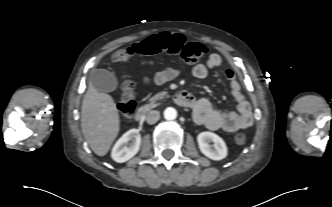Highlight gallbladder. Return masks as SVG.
Masks as SVG:
<instances>
[{
	"instance_id": "gallbladder-1",
	"label": "gallbladder",
	"mask_w": 332,
	"mask_h": 207,
	"mask_svg": "<svg viewBox=\"0 0 332 207\" xmlns=\"http://www.w3.org/2000/svg\"><path fill=\"white\" fill-rule=\"evenodd\" d=\"M90 81L98 91L102 92H112L116 90L118 85L115 75L105 69L93 71Z\"/></svg>"
}]
</instances>
